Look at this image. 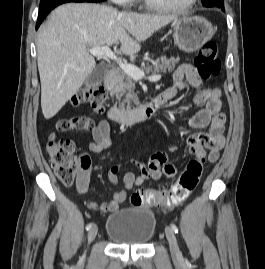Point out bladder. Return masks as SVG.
<instances>
[{
	"label": "bladder",
	"mask_w": 265,
	"mask_h": 269,
	"mask_svg": "<svg viewBox=\"0 0 265 269\" xmlns=\"http://www.w3.org/2000/svg\"><path fill=\"white\" fill-rule=\"evenodd\" d=\"M156 226L152 209L129 207L111 214L105 231L115 244L145 246L154 237Z\"/></svg>",
	"instance_id": "31cf9c89"
}]
</instances>
